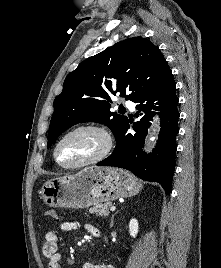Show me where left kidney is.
Listing matches in <instances>:
<instances>
[{
	"label": "left kidney",
	"instance_id": "1",
	"mask_svg": "<svg viewBox=\"0 0 221 268\" xmlns=\"http://www.w3.org/2000/svg\"><path fill=\"white\" fill-rule=\"evenodd\" d=\"M139 231V224L136 219H131L129 222V233L130 235L135 238Z\"/></svg>",
	"mask_w": 221,
	"mask_h": 268
}]
</instances>
